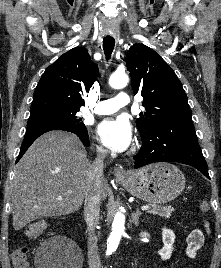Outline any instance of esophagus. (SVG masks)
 Returning <instances> with one entry per match:
<instances>
[{
  "label": "esophagus",
  "mask_w": 221,
  "mask_h": 268,
  "mask_svg": "<svg viewBox=\"0 0 221 268\" xmlns=\"http://www.w3.org/2000/svg\"><path fill=\"white\" fill-rule=\"evenodd\" d=\"M113 174L116 179H124L128 176L126 170L122 166H115L113 169Z\"/></svg>",
  "instance_id": "esophagus-1"
}]
</instances>
